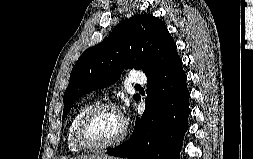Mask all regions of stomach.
Returning <instances> with one entry per match:
<instances>
[{
	"label": "stomach",
	"mask_w": 253,
	"mask_h": 159,
	"mask_svg": "<svg viewBox=\"0 0 253 159\" xmlns=\"http://www.w3.org/2000/svg\"><path fill=\"white\" fill-rule=\"evenodd\" d=\"M102 159H118V158H112V157H104Z\"/></svg>",
	"instance_id": "stomach-1"
}]
</instances>
